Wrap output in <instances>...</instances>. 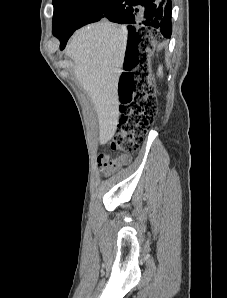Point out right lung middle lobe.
Listing matches in <instances>:
<instances>
[{
    "label": "right lung middle lobe",
    "mask_w": 227,
    "mask_h": 298,
    "mask_svg": "<svg viewBox=\"0 0 227 298\" xmlns=\"http://www.w3.org/2000/svg\"><path fill=\"white\" fill-rule=\"evenodd\" d=\"M103 0H53V33L75 30Z\"/></svg>",
    "instance_id": "1"
}]
</instances>
